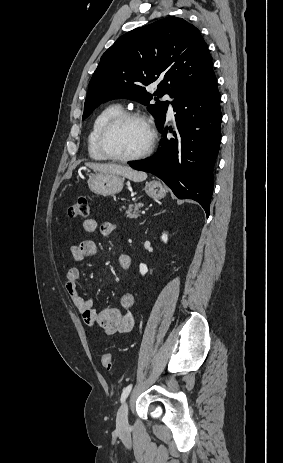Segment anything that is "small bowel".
<instances>
[{"mask_svg": "<svg viewBox=\"0 0 283 463\" xmlns=\"http://www.w3.org/2000/svg\"><path fill=\"white\" fill-rule=\"evenodd\" d=\"M84 230L88 233H95L98 230V223L91 218L84 222ZM117 231V225L113 222H104L100 226L102 235H112ZM97 252L96 244L91 240H85L78 245L70 247V254L76 261H84L93 257ZM122 269L127 270L130 266V257L127 254H120L118 258ZM80 271L76 267H70L66 274L65 289L88 326L102 328L106 334L128 333L134 327V318L130 310L135 304V297L132 293H124L120 298V308H106L96 310L91 300L83 296L79 290Z\"/></svg>", "mask_w": 283, "mask_h": 463, "instance_id": "c3829d8e", "label": "small bowel"}]
</instances>
